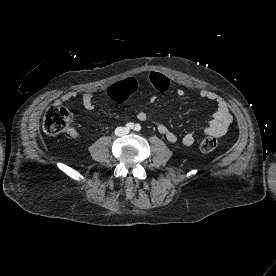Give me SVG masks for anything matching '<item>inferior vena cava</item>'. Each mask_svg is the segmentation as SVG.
Wrapping results in <instances>:
<instances>
[{
    "label": "inferior vena cava",
    "instance_id": "602c4592",
    "mask_svg": "<svg viewBox=\"0 0 276 276\" xmlns=\"http://www.w3.org/2000/svg\"><path fill=\"white\" fill-rule=\"evenodd\" d=\"M128 133V130H127V128H125V127H117L116 129H115V134L117 135V136H123V135H125V134H127Z\"/></svg>",
    "mask_w": 276,
    "mask_h": 276
}]
</instances>
